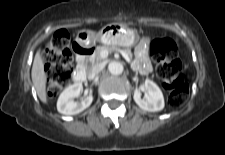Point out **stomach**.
<instances>
[{"label": "stomach", "mask_w": 225, "mask_h": 155, "mask_svg": "<svg viewBox=\"0 0 225 155\" xmlns=\"http://www.w3.org/2000/svg\"><path fill=\"white\" fill-rule=\"evenodd\" d=\"M92 40L100 41L105 45L130 47L137 42L138 37L132 29L121 24H109L103 27L97 34L80 32L78 35V41L81 43Z\"/></svg>", "instance_id": "1"}]
</instances>
